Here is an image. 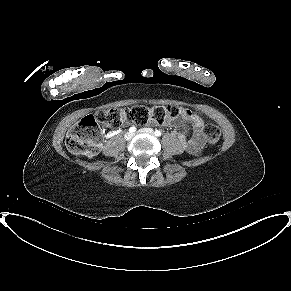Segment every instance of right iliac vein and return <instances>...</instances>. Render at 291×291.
I'll list each match as a JSON object with an SVG mask.
<instances>
[{"instance_id":"obj_1","label":"right iliac vein","mask_w":291,"mask_h":291,"mask_svg":"<svg viewBox=\"0 0 291 291\" xmlns=\"http://www.w3.org/2000/svg\"><path fill=\"white\" fill-rule=\"evenodd\" d=\"M133 136L134 134L132 132H127L124 137L126 140H130Z\"/></svg>"}]
</instances>
